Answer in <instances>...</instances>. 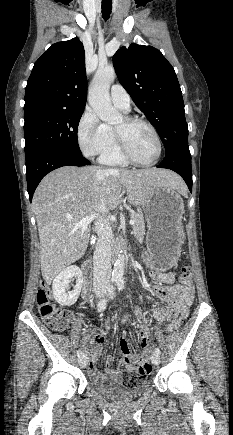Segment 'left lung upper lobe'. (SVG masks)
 I'll list each match as a JSON object with an SVG mask.
<instances>
[{
  "mask_svg": "<svg viewBox=\"0 0 233 435\" xmlns=\"http://www.w3.org/2000/svg\"><path fill=\"white\" fill-rule=\"evenodd\" d=\"M120 83L158 131L165 152L188 144L184 102L174 68L152 46L131 44L113 56Z\"/></svg>",
  "mask_w": 233,
  "mask_h": 435,
  "instance_id": "1",
  "label": "left lung upper lobe"
}]
</instances>
